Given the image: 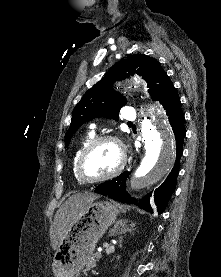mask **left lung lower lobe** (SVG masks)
Here are the masks:
<instances>
[{
	"label": "left lung lower lobe",
	"mask_w": 221,
	"mask_h": 277,
	"mask_svg": "<svg viewBox=\"0 0 221 277\" xmlns=\"http://www.w3.org/2000/svg\"><path fill=\"white\" fill-rule=\"evenodd\" d=\"M163 108L169 116V122L175 134L176 139V161L173 169L168 175L163 184L154 191V201L157 206V211L162 213L175 190L177 175L179 173V163L183 152V140L185 137V129L183 126L184 115L181 110V102L175 91L174 86L169 90L161 101ZM130 172H124L115 179L107 181L99 185L94 192L108 196L114 200L124 203H137L126 192V179ZM151 193L147 194L139 203L145 210L153 212L150 206Z\"/></svg>",
	"instance_id": "0a47b994"
}]
</instances>
